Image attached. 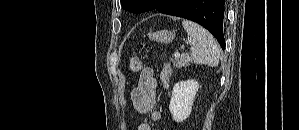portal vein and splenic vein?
Returning a JSON list of instances; mask_svg holds the SVG:
<instances>
[{
	"label": "portal vein and splenic vein",
	"mask_w": 299,
	"mask_h": 130,
	"mask_svg": "<svg viewBox=\"0 0 299 130\" xmlns=\"http://www.w3.org/2000/svg\"><path fill=\"white\" fill-rule=\"evenodd\" d=\"M174 56H175V57H178V56H180V53H179V52H176V53L174 54Z\"/></svg>",
	"instance_id": "obj_1"
}]
</instances>
